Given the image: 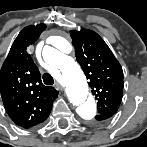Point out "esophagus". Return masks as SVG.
<instances>
[{"label":"esophagus","instance_id":"obj_1","mask_svg":"<svg viewBox=\"0 0 147 147\" xmlns=\"http://www.w3.org/2000/svg\"><path fill=\"white\" fill-rule=\"evenodd\" d=\"M55 87H56V89H58V90H63V85H62L61 83H59V82H56V83H55Z\"/></svg>","mask_w":147,"mask_h":147}]
</instances>
